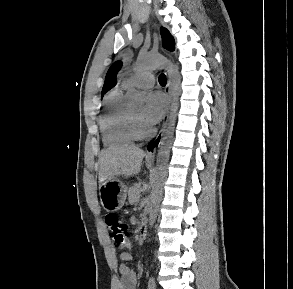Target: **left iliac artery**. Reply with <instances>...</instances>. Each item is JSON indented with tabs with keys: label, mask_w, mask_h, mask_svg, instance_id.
I'll return each mask as SVG.
<instances>
[{
	"label": "left iliac artery",
	"mask_w": 293,
	"mask_h": 289,
	"mask_svg": "<svg viewBox=\"0 0 293 289\" xmlns=\"http://www.w3.org/2000/svg\"><path fill=\"white\" fill-rule=\"evenodd\" d=\"M156 288V283L154 277H150L148 281V289H155Z\"/></svg>",
	"instance_id": "1"
}]
</instances>
